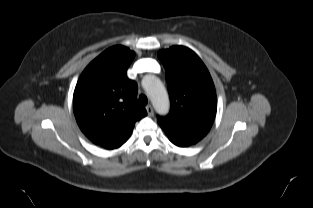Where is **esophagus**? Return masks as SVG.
Returning a JSON list of instances; mask_svg holds the SVG:
<instances>
[{
	"label": "esophagus",
	"mask_w": 313,
	"mask_h": 208,
	"mask_svg": "<svg viewBox=\"0 0 313 208\" xmlns=\"http://www.w3.org/2000/svg\"><path fill=\"white\" fill-rule=\"evenodd\" d=\"M146 111L148 113L149 116H153L154 115V111L151 105L146 106Z\"/></svg>",
	"instance_id": "esophagus-1"
}]
</instances>
